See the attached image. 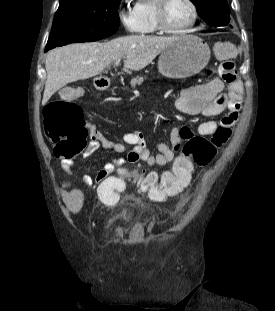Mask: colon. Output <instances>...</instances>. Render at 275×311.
<instances>
[{
  "label": "colon",
  "mask_w": 275,
  "mask_h": 311,
  "mask_svg": "<svg viewBox=\"0 0 275 311\" xmlns=\"http://www.w3.org/2000/svg\"><path fill=\"white\" fill-rule=\"evenodd\" d=\"M223 48H226L224 43L216 45L217 57H222L226 52ZM218 71L227 83L236 78L235 66L231 60H222ZM79 94L76 89L66 92L65 97L50 102L44 111L45 134L53 144L54 155L59 159L71 160L88 146L89 129L81 107L73 101ZM231 120L225 119L209 138L191 135L183 145L172 170L163 172L159 181L155 173L136 176L138 189L156 202L178 195L189 184L194 169L209 166L218 150L228 142L232 134ZM96 187L99 201L112 203L118 200L125 186L118 175H107Z\"/></svg>",
  "instance_id": "1"
}]
</instances>
